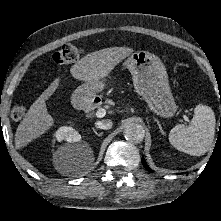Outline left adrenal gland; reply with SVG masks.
Segmentation results:
<instances>
[{
  "instance_id": "a2214340",
  "label": "left adrenal gland",
  "mask_w": 221,
  "mask_h": 221,
  "mask_svg": "<svg viewBox=\"0 0 221 221\" xmlns=\"http://www.w3.org/2000/svg\"><path fill=\"white\" fill-rule=\"evenodd\" d=\"M157 125H158V127H159V129H160V132L162 133V134H165V132L163 131V129H162V127H161V125H160V123L157 121Z\"/></svg>"
}]
</instances>
